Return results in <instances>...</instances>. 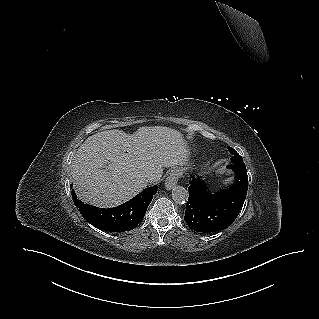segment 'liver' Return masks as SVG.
<instances>
[{
    "instance_id": "1",
    "label": "liver",
    "mask_w": 319,
    "mask_h": 319,
    "mask_svg": "<svg viewBox=\"0 0 319 319\" xmlns=\"http://www.w3.org/2000/svg\"><path fill=\"white\" fill-rule=\"evenodd\" d=\"M187 161V145L175 129L145 126L134 134L113 129L85 140L73 158L71 175L81 200L110 208L141 192L148 175H155L157 182L163 167Z\"/></svg>"
}]
</instances>
